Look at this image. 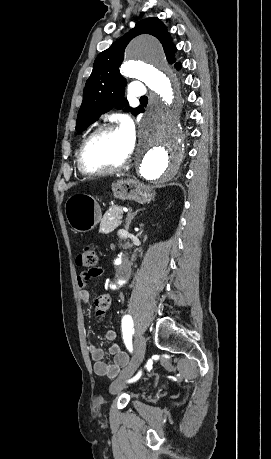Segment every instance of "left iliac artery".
<instances>
[{"label":"left iliac artery","mask_w":271,"mask_h":459,"mask_svg":"<svg viewBox=\"0 0 271 459\" xmlns=\"http://www.w3.org/2000/svg\"><path fill=\"white\" fill-rule=\"evenodd\" d=\"M133 320L132 317L129 315H125L122 319V334H123V339L124 343L127 347V349L132 352V334H133ZM142 372V371H141ZM136 377H140L141 373L136 372L135 373ZM136 377L132 378L133 382H136L138 379ZM128 384V383H127ZM130 384V383H129ZM133 384V383H132Z\"/></svg>","instance_id":"left-iliac-artery-1"}]
</instances>
